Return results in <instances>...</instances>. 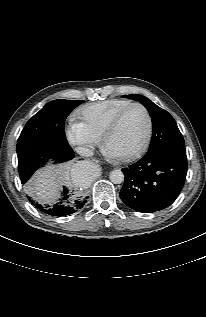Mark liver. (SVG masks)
Returning <instances> with one entry per match:
<instances>
[{"instance_id":"obj_1","label":"liver","mask_w":206,"mask_h":317,"mask_svg":"<svg viewBox=\"0 0 206 317\" xmlns=\"http://www.w3.org/2000/svg\"><path fill=\"white\" fill-rule=\"evenodd\" d=\"M68 165L58 167L47 166L39 170L34 176L35 194L37 198L44 203H51L59 197L58 190L62 182L69 178Z\"/></svg>"}]
</instances>
